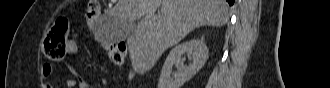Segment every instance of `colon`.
<instances>
[{
  "label": "colon",
  "mask_w": 330,
  "mask_h": 88,
  "mask_svg": "<svg viewBox=\"0 0 330 88\" xmlns=\"http://www.w3.org/2000/svg\"><path fill=\"white\" fill-rule=\"evenodd\" d=\"M99 14H100V2L90 1L85 9V18L89 26V29L92 33L94 41L99 46L105 49L108 43L103 41L100 37H98L94 31V24ZM69 37L70 34H69L68 20L66 18L57 19L53 24V26L51 27V29L48 31L45 38L44 50L46 56L54 60L62 58L65 55ZM121 53L122 51L115 56L113 55L110 56L111 61L117 67L122 66Z\"/></svg>",
  "instance_id": "obj_1"
}]
</instances>
